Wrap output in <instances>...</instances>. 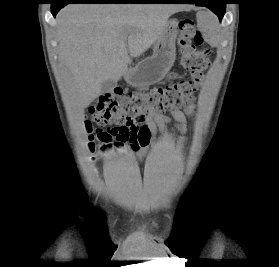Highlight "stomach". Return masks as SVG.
Masks as SVG:
<instances>
[{"label": "stomach", "instance_id": "1", "mask_svg": "<svg viewBox=\"0 0 279 267\" xmlns=\"http://www.w3.org/2000/svg\"><path fill=\"white\" fill-rule=\"evenodd\" d=\"M177 34L178 22L176 19H171L156 42L153 55L134 67H129L123 74L125 81L133 87H146L164 79L176 59Z\"/></svg>", "mask_w": 279, "mask_h": 267}]
</instances>
